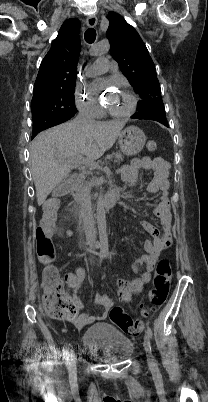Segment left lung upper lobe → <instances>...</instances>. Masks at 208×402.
Listing matches in <instances>:
<instances>
[{
    "label": "left lung upper lobe",
    "instance_id": "1",
    "mask_svg": "<svg viewBox=\"0 0 208 402\" xmlns=\"http://www.w3.org/2000/svg\"><path fill=\"white\" fill-rule=\"evenodd\" d=\"M107 18L109 20L107 37L111 45V55L142 98L133 118L155 120L166 125L165 108L156 69L144 42L135 28L117 13L110 12Z\"/></svg>",
    "mask_w": 208,
    "mask_h": 402
}]
</instances>
